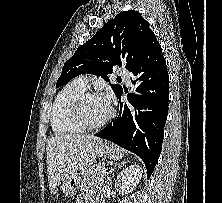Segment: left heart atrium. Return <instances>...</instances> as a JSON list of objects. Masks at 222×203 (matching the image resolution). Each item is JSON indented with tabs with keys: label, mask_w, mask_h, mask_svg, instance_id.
<instances>
[{
	"label": "left heart atrium",
	"mask_w": 222,
	"mask_h": 203,
	"mask_svg": "<svg viewBox=\"0 0 222 203\" xmlns=\"http://www.w3.org/2000/svg\"><path fill=\"white\" fill-rule=\"evenodd\" d=\"M103 99L107 102V104L110 106V98L108 96L103 97Z\"/></svg>",
	"instance_id": "left-heart-atrium-1"
}]
</instances>
